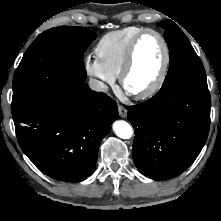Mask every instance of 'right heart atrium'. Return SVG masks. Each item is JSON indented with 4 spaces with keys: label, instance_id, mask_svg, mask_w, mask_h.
Segmentation results:
<instances>
[{
    "label": "right heart atrium",
    "instance_id": "obj_1",
    "mask_svg": "<svg viewBox=\"0 0 221 221\" xmlns=\"http://www.w3.org/2000/svg\"><path fill=\"white\" fill-rule=\"evenodd\" d=\"M84 67L86 72L96 79L101 90H106L114 84L116 77L103 66L97 57L88 55L84 60Z\"/></svg>",
    "mask_w": 221,
    "mask_h": 221
}]
</instances>
